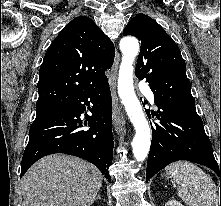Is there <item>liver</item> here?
Returning a JSON list of instances; mask_svg holds the SVG:
<instances>
[{
    "label": "liver",
    "instance_id": "liver-1",
    "mask_svg": "<svg viewBox=\"0 0 221 206\" xmlns=\"http://www.w3.org/2000/svg\"><path fill=\"white\" fill-rule=\"evenodd\" d=\"M103 176L82 159L54 154L37 161L24 175L23 206H91Z\"/></svg>",
    "mask_w": 221,
    "mask_h": 206
}]
</instances>
